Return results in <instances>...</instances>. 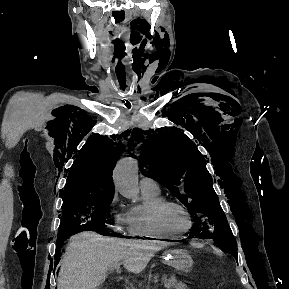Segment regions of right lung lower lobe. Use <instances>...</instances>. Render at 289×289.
<instances>
[{"label":"right lung lower lobe","instance_id":"1","mask_svg":"<svg viewBox=\"0 0 289 289\" xmlns=\"http://www.w3.org/2000/svg\"><path fill=\"white\" fill-rule=\"evenodd\" d=\"M112 236H114V235H112ZM65 240L66 239H57V241H56V245H57L56 253H55V263L56 264L59 262V258H60V254H61L60 248H61V246H62V244L64 243Z\"/></svg>","mask_w":289,"mask_h":289}]
</instances>
